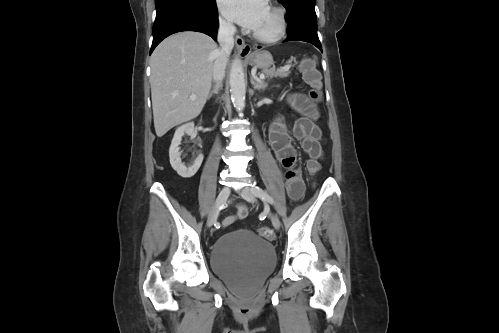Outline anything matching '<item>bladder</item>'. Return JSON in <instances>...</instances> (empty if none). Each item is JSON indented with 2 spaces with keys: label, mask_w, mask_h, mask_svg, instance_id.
Listing matches in <instances>:
<instances>
[{
  "label": "bladder",
  "mask_w": 499,
  "mask_h": 333,
  "mask_svg": "<svg viewBox=\"0 0 499 333\" xmlns=\"http://www.w3.org/2000/svg\"><path fill=\"white\" fill-rule=\"evenodd\" d=\"M210 258L217 276L242 288L261 282L276 265L274 246L248 229L221 235Z\"/></svg>",
  "instance_id": "1"
}]
</instances>
